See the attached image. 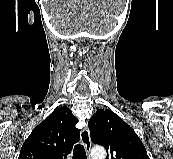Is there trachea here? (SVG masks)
I'll use <instances>...</instances> for the list:
<instances>
[{
  "label": "trachea",
  "mask_w": 173,
  "mask_h": 159,
  "mask_svg": "<svg viewBox=\"0 0 173 159\" xmlns=\"http://www.w3.org/2000/svg\"><path fill=\"white\" fill-rule=\"evenodd\" d=\"M73 159H87L86 152L83 145L77 144L74 147Z\"/></svg>",
  "instance_id": "3493384b"
}]
</instances>
